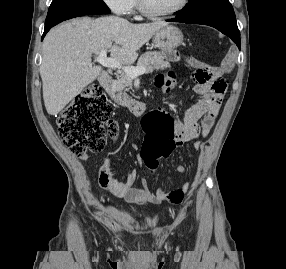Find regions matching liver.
I'll use <instances>...</instances> for the list:
<instances>
[{"mask_svg": "<svg viewBox=\"0 0 286 269\" xmlns=\"http://www.w3.org/2000/svg\"><path fill=\"white\" fill-rule=\"evenodd\" d=\"M167 25L162 21L132 24L109 16L77 18L51 29L43 41L39 69L48 114H58L100 75L102 69L92 65V54L108 49L111 58L131 65L137 51Z\"/></svg>", "mask_w": 286, "mask_h": 269, "instance_id": "liver-1", "label": "liver"}]
</instances>
